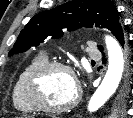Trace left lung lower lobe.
<instances>
[{"label": "left lung lower lobe", "mask_w": 133, "mask_h": 118, "mask_svg": "<svg viewBox=\"0 0 133 118\" xmlns=\"http://www.w3.org/2000/svg\"><path fill=\"white\" fill-rule=\"evenodd\" d=\"M112 34L116 37V39L119 41V43L124 46L125 48V52H126V57L127 59L130 61H133V56L131 57V51H130V47H129V42L127 41L126 37L124 36L121 24L118 25L112 32ZM101 52H103V49L100 50ZM127 78H129V75H127ZM123 87H128L129 88V84L128 81H126L125 85Z\"/></svg>", "instance_id": "0a47b994"}]
</instances>
